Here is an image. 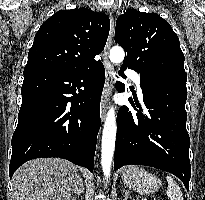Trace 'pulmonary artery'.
Masks as SVG:
<instances>
[{"label":"pulmonary artery","instance_id":"e3ab8cb5","mask_svg":"<svg viewBox=\"0 0 205 200\" xmlns=\"http://www.w3.org/2000/svg\"><path fill=\"white\" fill-rule=\"evenodd\" d=\"M127 77H129L130 79H132L134 81V83L136 84L137 87V91L140 95H142V89H141V79L138 73H136L135 71H131L128 70L126 72Z\"/></svg>","mask_w":205,"mask_h":200}]
</instances>
